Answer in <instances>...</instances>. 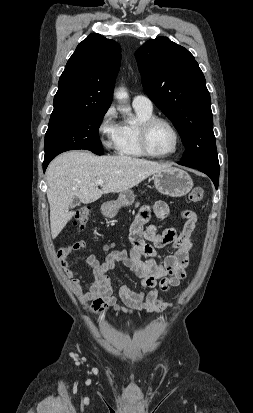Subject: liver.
<instances>
[{
    "mask_svg": "<svg viewBox=\"0 0 253 413\" xmlns=\"http://www.w3.org/2000/svg\"><path fill=\"white\" fill-rule=\"evenodd\" d=\"M171 167L168 163L129 156L97 157L87 151H69L52 160L46 170L52 238H56L75 215L69 211L74 198L85 204L103 194L130 190L149 176ZM104 181L101 189L96 181Z\"/></svg>",
    "mask_w": 253,
    "mask_h": 413,
    "instance_id": "liver-1",
    "label": "liver"
}]
</instances>
